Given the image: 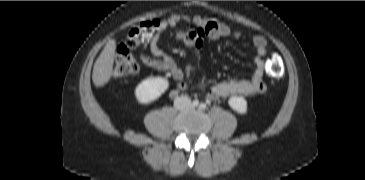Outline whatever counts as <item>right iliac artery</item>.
<instances>
[{
    "label": "right iliac artery",
    "mask_w": 365,
    "mask_h": 180,
    "mask_svg": "<svg viewBox=\"0 0 365 180\" xmlns=\"http://www.w3.org/2000/svg\"><path fill=\"white\" fill-rule=\"evenodd\" d=\"M192 105H193L194 107H197V106L199 105V101H198V100H194V101L192 102Z\"/></svg>",
    "instance_id": "82829eb1"
}]
</instances>
